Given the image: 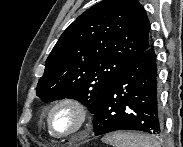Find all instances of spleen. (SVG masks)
<instances>
[{"label":"spleen","mask_w":183,"mask_h":147,"mask_svg":"<svg viewBox=\"0 0 183 147\" xmlns=\"http://www.w3.org/2000/svg\"><path fill=\"white\" fill-rule=\"evenodd\" d=\"M102 140L113 147H160L153 138L135 132H114Z\"/></svg>","instance_id":"3e777b00"}]
</instances>
